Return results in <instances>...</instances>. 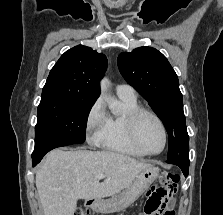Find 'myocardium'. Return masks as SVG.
<instances>
[{
  "mask_svg": "<svg viewBox=\"0 0 223 215\" xmlns=\"http://www.w3.org/2000/svg\"><path fill=\"white\" fill-rule=\"evenodd\" d=\"M144 116H149L152 119H154L161 130L162 145H161L160 149L156 152H144L139 148L138 141H137V127H138L140 120ZM128 135H129V140H130L131 144L135 147V149L138 151V153L141 156H157L162 153V151L164 150V148L166 146L167 135H166V129H165L163 122L155 113H153L147 109H144V108H140V109L136 110L129 117Z\"/></svg>",
  "mask_w": 223,
  "mask_h": 215,
  "instance_id": "obj_1",
  "label": "myocardium"
}]
</instances>
